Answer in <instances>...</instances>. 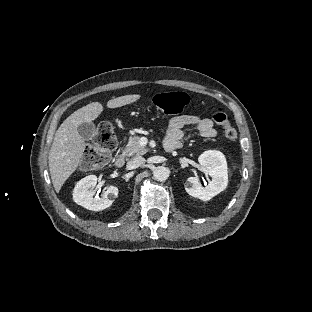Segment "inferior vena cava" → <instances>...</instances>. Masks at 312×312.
<instances>
[{"mask_svg":"<svg viewBox=\"0 0 312 312\" xmlns=\"http://www.w3.org/2000/svg\"><path fill=\"white\" fill-rule=\"evenodd\" d=\"M145 163V158L141 156L134 157L128 162V167L131 169L138 168Z\"/></svg>","mask_w":312,"mask_h":312,"instance_id":"602c4592","label":"inferior vena cava"}]
</instances>
